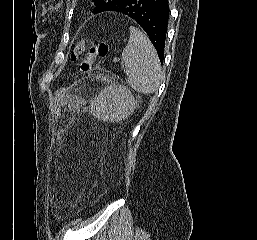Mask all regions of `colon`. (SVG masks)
I'll use <instances>...</instances> for the list:
<instances>
[{"label":"colon","mask_w":257,"mask_h":240,"mask_svg":"<svg viewBox=\"0 0 257 240\" xmlns=\"http://www.w3.org/2000/svg\"><path fill=\"white\" fill-rule=\"evenodd\" d=\"M84 57L80 59L83 55ZM108 55V46L105 41H93L88 38H83L73 45L72 58L74 60H79V70L81 72H88L95 67V62L99 58H105ZM64 95V90H58L55 93L53 101V118L56 123L62 114V99Z\"/></svg>","instance_id":"5ec220e1"}]
</instances>
